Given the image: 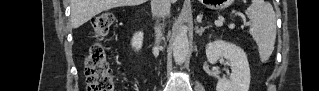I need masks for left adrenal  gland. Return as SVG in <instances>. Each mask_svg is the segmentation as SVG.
Segmentation results:
<instances>
[{"label": "left adrenal gland", "mask_w": 319, "mask_h": 91, "mask_svg": "<svg viewBox=\"0 0 319 91\" xmlns=\"http://www.w3.org/2000/svg\"><path fill=\"white\" fill-rule=\"evenodd\" d=\"M211 26L210 25H208V26H205V27H197L196 28V33L199 35V36H202V34H203V32L206 30V29H208V28H210Z\"/></svg>", "instance_id": "left-adrenal-gland-1"}]
</instances>
